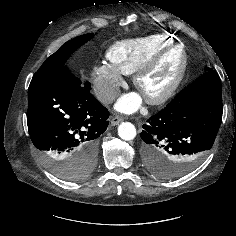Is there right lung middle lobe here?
<instances>
[{
	"label": "right lung middle lobe",
	"instance_id": "obj_1",
	"mask_svg": "<svg viewBox=\"0 0 236 236\" xmlns=\"http://www.w3.org/2000/svg\"><path fill=\"white\" fill-rule=\"evenodd\" d=\"M92 36L93 34L89 33L67 41L58 51L48 57L36 73L54 71L66 67L65 63L72 52L89 41ZM45 161L48 168L56 176L69 181H77L87 177L96 164V160L92 158L70 161L46 157Z\"/></svg>",
	"mask_w": 236,
	"mask_h": 236
}]
</instances>
